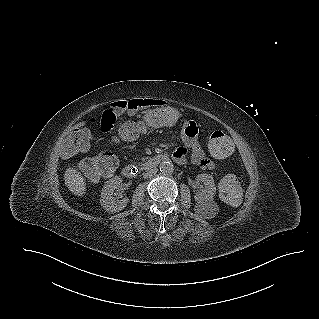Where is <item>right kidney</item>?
Instances as JSON below:
<instances>
[{"label": "right kidney", "mask_w": 319, "mask_h": 319, "mask_svg": "<svg viewBox=\"0 0 319 319\" xmlns=\"http://www.w3.org/2000/svg\"><path fill=\"white\" fill-rule=\"evenodd\" d=\"M121 183L122 178H120L119 176H115L114 178L106 181L103 186L100 203L107 212H119L123 210L129 202V199L127 197L118 200L115 199L113 196L115 189H117L121 185Z\"/></svg>", "instance_id": "1"}]
</instances>
